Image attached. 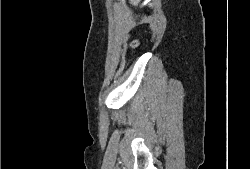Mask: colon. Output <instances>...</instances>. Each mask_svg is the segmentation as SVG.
Masks as SVG:
<instances>
[{"label":"colon","instance_id":"colon-1","mask_svg":"<svg viewBox=\"0 0 250 169\" xmlns=\"http://www.w3.org/2000/svg\"><path fill=\"white\" fill-rule=\"evenodd\" d=\"M138 38H133L131 44H130V47L132 49V51H135L139 45V42H138Z\"/></svg>","mask_w":250,"mask_h":169}]
</instances>
